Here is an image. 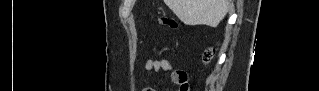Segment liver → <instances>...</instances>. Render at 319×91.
Returning <instances> with one entry per match:
<instances>
[{"label": "liver", "mask_w": 319, "mask_h": 91, "mask_svg": "<svg viewBox=\"0 0 319 91\" xmlns=\"http://www.w3.org/2000/svg\"><path fill=\"white\" fill-rule=\"evenodd\" d=\"M186 25L217 27L225 17L229 0H164Z\"/></svg>", "instance_id": "liver-1"}]
</instances>
